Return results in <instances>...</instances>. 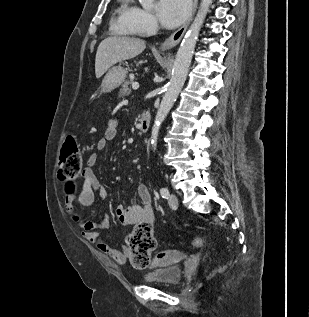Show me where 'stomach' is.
<instances>
[{
  "instance_id": "stomach-1",
  "label": "stomach",
  "mask_w": 309,
  "mask_h": 317,
  "mask_svg": "<svg viewBox=\"0 0 309 317\" xmlns=\"http://www.w3.org/2000/svg\"><path fill=\"white\" fill-rule=\"evenodd\" d=\"M126 70L121 66L109 69L101 84V93L111 92L119 87L126 78Z\"/></svg>"
}]
</instances>
